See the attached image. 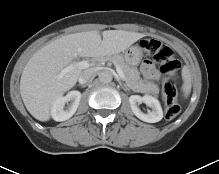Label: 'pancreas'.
Wrapping results in <instances>:
<instances>
[{
    "label": "pancreas",
    "mask_w": 219,
    "mask_h": 174,
    "mask_svg": "<svg viewBox=\"0 0 219 174\" xmlns=\"http://www.w3.org/2000/svg\"><path fill=\"white\" fill-rule=\"evenodd\" d=\"M106 59L118 64L121 67L125 75L124 80L127 86L133 89L134 91L152 94H157L159 92V88L157 85L142 80L140 78V73L138 72L137 68L130 67L126 63L124 57H122L121 55H110L107 56Z\"/></svg>",
    "instance_id": "pancreas-1"
}]
</instances>
